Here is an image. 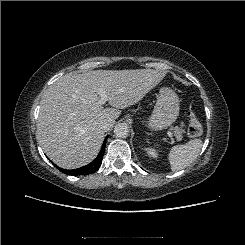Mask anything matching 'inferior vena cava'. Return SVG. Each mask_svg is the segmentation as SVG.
<instances>
[{
  "instance_id": "602c4592",
  "label": "inferior vena cava",
  "mask_w": 245,
  "mask_h": 245,
  "mask_svg": "<svg viewBox=\"0 0 245 245\" xmlns=\"http://www.w3.org/2000/svg\"><path fill=\"white\" fill-rule=\"evenodd\" d=\"M114 120L113 119H105L100 122V128L104 132H107L113 125H114Z\"/></svg>"
}]
</instances>
